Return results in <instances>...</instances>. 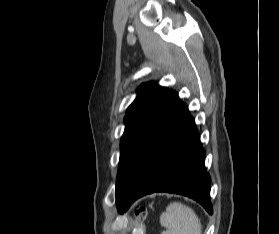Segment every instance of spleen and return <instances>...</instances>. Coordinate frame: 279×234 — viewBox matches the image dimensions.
<instances>
[{"label":"spleen","instance_id":"spleen-1","mask_svg":"<svg viewBox=\"0 0 279 234\" xmlns=\"http://www.w3.org/2000/svg\"><path fill=\"white\" fill-rule=\"evenodd\" d=\"M160 224L166 228L162 234H202L200 219L190 207L174 202L160 215Z\"/></svg>","mask_w":279,"mask_h":234}]
</instances>
